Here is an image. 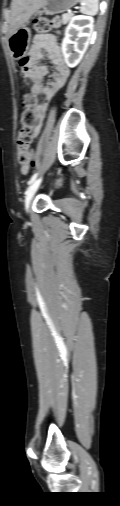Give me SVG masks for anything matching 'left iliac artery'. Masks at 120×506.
I'll use <instances>...</instances> for the list:
<instances>
[{
	"mask_svg": "<svg viewBox=\"0 0 120 506\" xmlns=\"http://www.w3.org/2000/svg\"><path fill=\"white\" fill-rule=\"evenodd\" d=\"M37 176H38V173H35V174H34V175L30 178V180L28 181V185H31V184L35 181V179L37 178Z\"/></svg>",
	"mask_w": 120,
	"mask_h": 506,
	"instance_id": "1",
	"label": "left iliac artery"
}]
</instances>
